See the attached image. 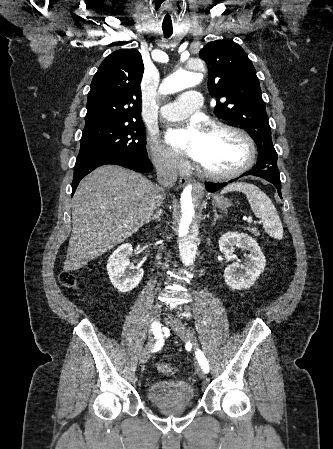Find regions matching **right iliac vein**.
Here are the masks:
<instances>
[{
    "instance_id": "right-iliac-vein-1",
    "label": "right iliac vein",
    "mask_w": 333,
    "mask_h": 449,
    "mask_svg": "<svg viewBox=\"0 0 333 449\" xmlns=\"http://www.w3.org/2000/svg\"><path fill=\"white\" fill-rule=\"evenodd\" d=\"M160 313H161V306L159 304H155L152 308L153 324L158 323V318L160 316ZM155 339H156L155 336L151 334V336L149 338V342L147 343V345L145 346V348L143 349V351L140 355V363H145L148 360V358L150 357V352L155 344Z\"/></svg>"
}]
</instances>
